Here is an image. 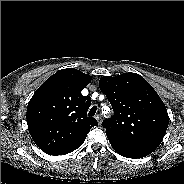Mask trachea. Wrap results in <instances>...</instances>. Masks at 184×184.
Instances as JSON below:
<instances>
[{"label":"trachea","mask_w":184,"mask_h":184,"mask_svg":"<svg viewBox=\"0 0 184 184\" xmlns=\"http://www.w3.org/2000/svg\"><path fill=\"white\" fill-rule=\"evenodd\" d=\"M96 111H97L96 106L91 107L90 110H89L88 116H94Z\"/></svg>","instance_id":"3493384b"}]
</instances>
